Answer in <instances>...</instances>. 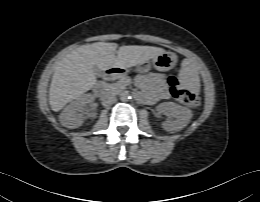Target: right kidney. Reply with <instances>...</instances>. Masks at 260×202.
Segmentation results:
<instances>
[{
	"mask_svg": "<svg viewBox=\"0 0 260 202\" xmlns=\"http://www.w3.org/2000/svg\"><path fill=\"white\" fill-rule=\"evenodd\" d=\"M93 101L94 97L91 94H84L72 101L60 114L61 124L72 129L81 126L86 114L83 108Z\"/></svg>",
	"mask_w": 260,
	"mask_h": 202,
	"instance_id": "ca27d5eb",
	"label": "right kidney"
}]
</instances>
